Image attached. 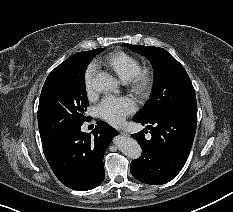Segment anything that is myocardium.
Instances as JSON below:
<instances>
[{
    "mask_svg": "<svg viewBox=\"0 0 233 212\" xmlns=\"http://www.w3.org/2000/svg\"><path fill=\"white\" fill-rule=\"evenodd\" d=\"M154 74L150 68H140L130 80L127 81L130 92L138 99L146 98L153 86Z\"/></svg>",
    "mask_w": 233,
    "mask_h": 212,
    "instance_id": "myocardium-1",
    "label": "myocardium"
}]
</instances>
